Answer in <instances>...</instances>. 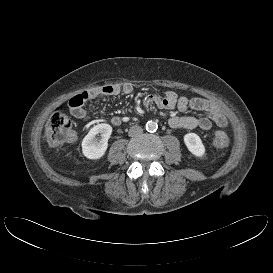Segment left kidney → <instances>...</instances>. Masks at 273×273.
Returning <instances> with one entry per match:
<instances>
[{
	"label": "left kidney",
	"instance_id": "1",
	"mask_svg": "<svg viewBox=\"0 0 273 273\" xmlns=\"http://www.w3.org/2000/svg\"><path fill=\"white\" fill-rule=\"evenodd\" d=\"M184 143L188 150L197 157L205 154V147L200 137L195 133H187L184 135Z\"/></svg>",
	"mask_w": 273,
	"mask_h": 273
}]
</instances>
